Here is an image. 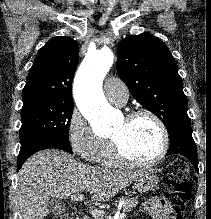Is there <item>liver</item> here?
<instances>
[{"label": "liver", "instance_id": "6515ba94", "mask_svg": "<svg viewBox=\"0 0 211 219\" xmlns=\"http://www.w3.org/2000/svg\"><path fill=\"white\" fill-rule=\"evenodd\" d=\"M142 170H112L87 166L59 150H43L31 156L18 173L17 201L22 219H43L50 198L66 199L88 191L95 205L113 198L135 182Z\"/></svg>", "mask_w": 211, "mask_h": 219}]
</instances>
